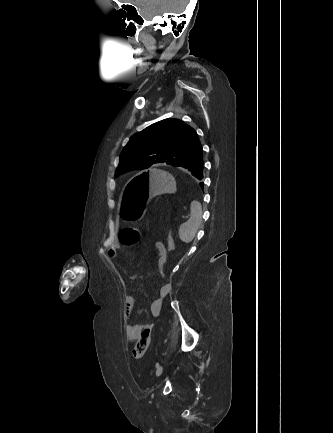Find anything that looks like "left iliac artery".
I'll return each mask as SVG.
<instances>
[{
  "label": "left iliac artery",
  "mask_w": 333,
  "mask_h": 433,
  "mask_svg": "<svg viewBox=\"0 0 333 433\" xmlns=\"http://www.w3.org/2000/svg\"><path fill=\"white\" fill-rule=\"evenodd\" d=\"M158 366H159V364L157 363V364H156V368H158Z\"/></svg>",
  "instance_id": "44dca946"
}]
</instances>
